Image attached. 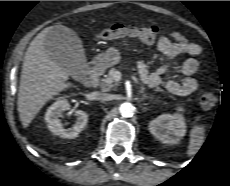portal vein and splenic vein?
I'll use <instances>...</instances> for the list:
<instances>
[{
    "mask_svg": "<svg viewBox=\"0 0 230 186\" xmlns=\"http://www.w3.org/2000/svg\"><path fill=\"white\" fill-rule=\"evenodd\" d=\"M120 79H121V73L120 72H116L114 74V80L119 81ZM134 80L137 81L136 78H134Z\"/></svg>",
    "mask_w": 230,
    "mask_h": 186,
    "instance_id": "1",
    "label": "portal vein and splenic vein"
}]
</instances>
